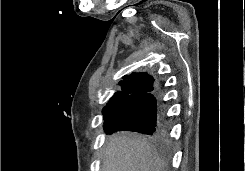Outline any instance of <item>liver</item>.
Masks as SVG:
<instances>
[{
    "instance_id": "obj_1",
    "label": "liver",
    "mask_w": 245,
    "mask_h": 171,
    "mask_svg": "<svg viewBox=\"0 0 245 171\" xmlns=\"http://www.w3.org/2000/svg\"><path fill=\"white\" fill-rule=\"evenodd\" d=\"M166 166L145 136L121 133L109 139L101 171H166Z\"/></svg>"
}]
</instances>
